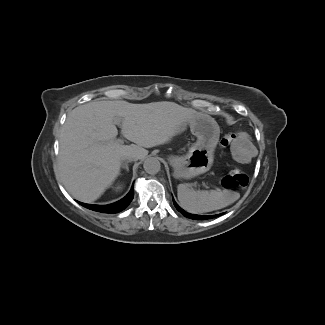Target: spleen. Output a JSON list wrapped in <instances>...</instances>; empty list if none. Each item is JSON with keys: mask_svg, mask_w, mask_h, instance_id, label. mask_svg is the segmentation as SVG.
I'll return each instance as SVG.
<instances>
[{"mask_svg": "<svg viewBox=\"0 0 325 325\" xmlns=\"http://www.w3.org/2000/svg\"><path fill=\"white\" fill-rule=\"evenodd\" d=\"M178 199L181 206L188 212L202 214L230 205L233 201L227 200L222 192L206 193L196 191L191 184L184 183L178 187Z\"/></svg>", "mask_w": 325, "mask_h": 325, "instance_id": "3e777b00", "label": "spleen"}]
</instances>
